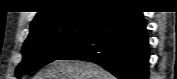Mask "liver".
<instances>
[{
    "label": "liver",
    "instance_id": "liver-1",
    "mask_svg": "<svg viewBox=\"0 0 177 79\" xmlns=\"http://www.w3.org/2000/svg\"><path fill=\"white\" fill-rule=\"evenodd\" d=\"M34 79H113V76L92 62L66 59L48 64Z\"/></svg>",
    "mask_w": 177,
    "mask_h": 79
}]
</instances>
